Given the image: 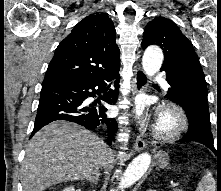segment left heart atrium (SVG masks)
Returning <instances> with one entry per match:
<instances>
[{
    "instance_id": "obj_1",
    "label": "left heart atrium",
    "mask_w": 221,
    "mask_h": 191,
    "mask_svg": "<svg viewBox=\"0 0 221 191\" xmlns=\"http://www.w3.org/2000/svg\"><path fill=\"white\" fill-rule=\"evenodd\" d=\"M134 114H135V117L138 119V121L140 123L145 122V119L143 118V105H142V103L137 102L135 104Z\"/></svg>"
}]
</instances>
